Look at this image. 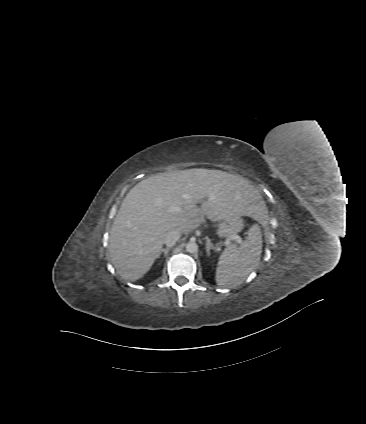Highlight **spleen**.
Listing matches in <instances>:
<instances>
[{"label":"spleen","mask_w":366,"mask_h":424,"mask_svg":"<svg viewBox=\"0 0 366 424\" xmlns=\"http://www.w3.org/2000/svg\"><path fill=\"white\" fill-rule=\"evenodd\" d=\"M262 253V235L252 226L241 247L229 245L219 257L215 279L219 286L236 287L256 268Z\"/></svg>","instance_id":"3e777b00"}]
</instances>
